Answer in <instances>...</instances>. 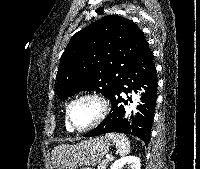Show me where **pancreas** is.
<instances>
[{"instance_id": "pancreas-1", "label": "pancreas", "mask_w": 200, "mask_h": 169, "mask_svg": "<svg viewBox=\"0 0 200 169\" xmlns=\"http://www.w3.org/2000/svg\"><path fill=\"white\" fill-rule=\"evenodd\" d=\"M110 160H104L98 165V169H106Z\"/></svg>"}]
</instances>
